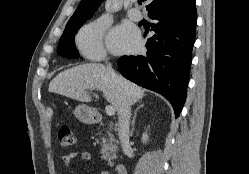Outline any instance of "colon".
<instances>
[{
  "label": "colon",
  "instance_id": "colon-1",
  "mask_svg": "<svg viewBox=\"0 0 249 174\" xmlns=\"http://www.w3.org/2000/svg\"><path fill=\"white\" fill-rule=\"evenodd\" d=\"M58 141L62 147L68 148L75 144V137L68 125H61L57 131Z\"/></svg>",
  "mask_w": 249,
  "mask_h": 174
}]
</instances>
